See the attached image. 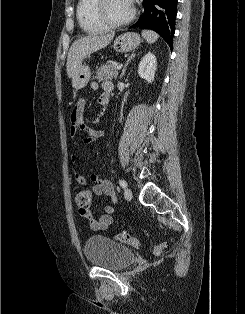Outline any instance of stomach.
<instances>
[{"mask_svg":"<svg viewBox=\"0 0 245 314\" xmlns=\"http://www.w3.org/2000/svg\"><path fill=\"white\" fill-rule=\"evenodd\" d=\"M141 43V37L134 32H127L114 41L113 48L117 52H128L135 49ZM91 77L90 68L86 65H81L72 77V86L76 90L83 89L87 86Z\"/></svg>","mask_w":245,"mask_h":314,"instance_id":"0dacf381","label":"stomach"}]
</instances>
